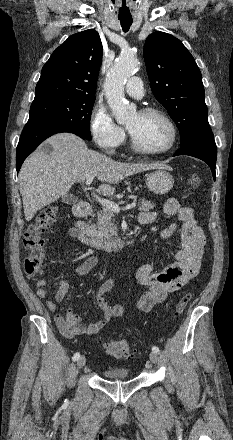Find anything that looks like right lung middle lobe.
<instances>
[{
	"instance_id": "right-lung-middle-lobe-1",
	"label": "right lung middle lobe",
	"mask_w": 233,
	"mask_h": 440,
	"mask_svg": "<svg viewBox=\"0 0 233 440\" xmlns=\"http://www.w3.org/2000/svg\"><path fill=\"white\" fill-rule=\"evenodd\" d=\"M95 98L57 97L32 103L28 125L60 126L91 140L90 118Z\"/></svg>"
}]
</instances>
